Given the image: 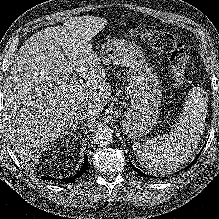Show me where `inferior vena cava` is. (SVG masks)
<instances>
[{
    "instance_id": "obj_1",
    "label": "inferior vena cava",
    "mask_w": 219,
    "mask_h": 219,
    "mask_svg": "<svg viewBox=\"0 0 219 219\" xmlns=\"http://www.w3.org/2000/svg\"><path fill=\"white\" fill-rule=\"evenodd\" d=\"M91 114V111L88 110L86 107H78L75 112H74V115L76 117V120L79 119H85V118H88Z\"/></svg>"
}]
</instances>
